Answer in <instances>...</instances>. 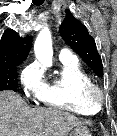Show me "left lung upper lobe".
<instances>
[{"label": "left lung upper lobe", "instance_id": "obj_1", "mask_svg": "<svg viewBox=\"0 0 117 136\" xmlns=\"http://www.w3.org/2000/svg\"><path fill=\"white\" fill-rule=\"evenodd\" d=\"M61 24L60 34L65 42L80 55L84 62L97 74L103 76L101 57L96 44L87 28L79 22L69 11Z\"/></svg>", "mask_w": 117, "mask_h": 136}]
</instances>
